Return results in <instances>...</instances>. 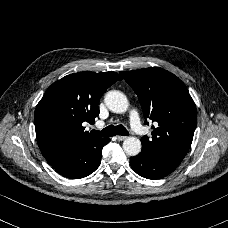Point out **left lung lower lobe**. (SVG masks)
Returning <instances> with one entry per match:
<instances>
[{
    "label": "left lung lower lobe",
    "instance_id": "0a47b994",
    "mask_svg": "<svg viewBox=\"0 0 228 228\" xmlns=\"http://www.w3.org/2000/svg\"><path fill=\"white\" fill-rule=\"evenodd\" d=\"M180 159L164 158L141 151L130 158L133 170L147 179H161L172 173L181 163Z\"/></svg>",
    "mask_w": 228,
    "mask_h": 228
}]
</instances>
